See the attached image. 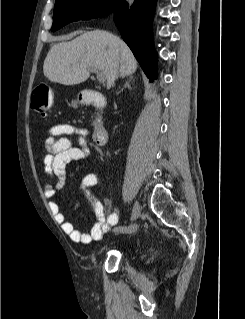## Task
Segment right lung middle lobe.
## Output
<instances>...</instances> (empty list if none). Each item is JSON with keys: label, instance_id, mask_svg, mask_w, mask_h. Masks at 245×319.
Masks as SVG:
<instances>
[{"label": "right lung middle lobe", "instance_id": "obj_1", "mask_svg": "<svg viewBox=\"0 0 245 319\" xmlns=\"http://www.w3.org/2000/svg\"><path fill=\"white\" fill-rule=\"evenodd\" d=\"M111 7V0H56L51 30L56 31L73 21L97 18Z\"/></svg>", "mask_w": 245, "mask_h": 319}]
</instances>
